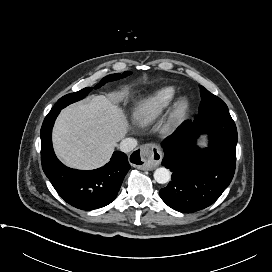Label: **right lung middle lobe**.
Returning a JSON list of instances; mask_svg holds the SVG:
<instances>
[{"instance_id": "dd1d6c3e", "label": "right lung middle lobe", "mask_w": 272, "mask_h": 272, "mask_svg": "<svg viewBox=\"0 0 272 272\" xmlns=\"http://www.w3.org/2000/svg\"><path fill=\"white\" fill-rule=\"evenodd\" d=\"M129 74H131V72H124L123 75H121L120 73H116V74H111V75H108L106 77H104L95 87L94 89H97V88H100L101 86H103L105 83L109 82V81H113V80H117V79H120L122 77H126L128 76ZM92 90V88L90 87H87V88H84L78 92H75V93H70V94H67L65 96H63L62 98H60L57 103L54 105V107L52 108L53 109H57V108H64L66 107L67 105L73 103V102H76L78 100H81L83 99L84 97H86V95H88V93Z\"/></svg>"}]
</instances>
